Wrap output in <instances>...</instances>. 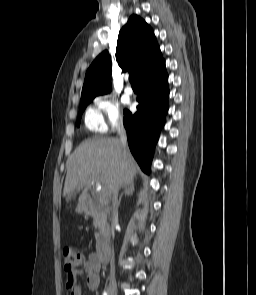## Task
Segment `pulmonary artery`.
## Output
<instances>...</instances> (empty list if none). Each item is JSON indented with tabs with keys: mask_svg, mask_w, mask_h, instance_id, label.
Returning <instances> with one entry per match:
<instances>
[{
	"mask_svg": "<svg viewBox=\"0 0 256 295\" xmlns=\"http://www.w3.org/2000/svg\"><path fill=\"white\" fill-rule=\"evenodd\" d=\"M125 93L128 95H131L133 93V89L131 88V86H126L125 87Z\"/></svg>",
	"mask_w": 256,
	"mask_h": 295,
	"instance_id": "1",
	"label": "pulmonary artery"
}]
</instances>
